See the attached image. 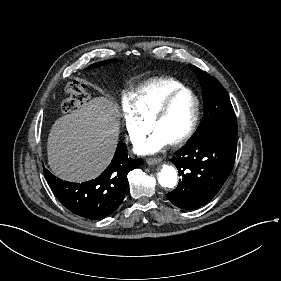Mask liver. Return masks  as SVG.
<instances>
[{"instance_id": "1", "label": "liver", "mask_w": 281, "mask_h": 281, "mask_svg": "<svg viewBox=\"0 0 281 281\" xmlns=\"http://www.w3.org/2000/svg\"><path fill=\"white\" fill-rule=\"evenodd\" d=\"M119 108L107 97H95L52 124L46 145L48 164L64 180L84 182L111 163L120 138Z\"/></svg>"}]
</instances>
